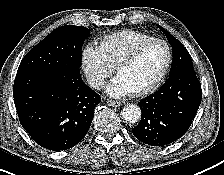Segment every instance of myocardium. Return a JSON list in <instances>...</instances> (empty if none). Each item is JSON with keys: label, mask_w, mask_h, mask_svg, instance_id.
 <instances>
[{"label": "myocardium", "mask_w": 224, "mask_h": 175, "mask_svg": "<svg viewBox=\"0 0 224 175\" xmlns=\"http://www.w3.org/2000/svg\"><path fill=\"white\" fill-rule=\"evenodd\" d=\"M155 43L162 44L166 48L167 58H166L165 64H164L162 70L160 71V73L150 84H148L147 86L140 88L132 93L134 96H142V95H145V94L153 91L164 79V77L168 73L171 63H172V50H171L170 45L163 39L152 38L150 40H147V41L139 44L137 47H135L129 54H127L124 58H122L117 63V65L115 67L116 73L118 74V72L122 68L133 63L148 46L155 44Z\"/></svg>", "instance_id": "f54148a6"}]
</instances>
